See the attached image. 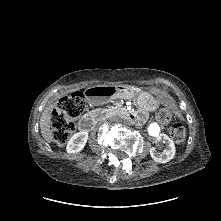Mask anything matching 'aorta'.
<instances>
[{
	"label": "aorta",
	"instance_id": "1",
	"mask_svg": "<svg viewBox=\"0 0 221 221\" xmlns=\"http://www.w3.org/2000/svg\"><path fill=\"white\" fill-rule=\"evenodd\" d=\"M148 133L151 136H158L159 132H160V127L158 124L156 123H152L148 128H147Z\"/></svg>",
	"mask_w": 221,
	"mask_h": 221
}]
</instances>
